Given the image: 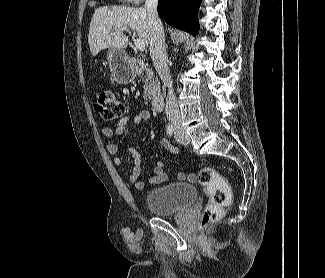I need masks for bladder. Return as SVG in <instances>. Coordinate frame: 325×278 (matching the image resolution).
Wrapping results in <instances>:
<instances>
[{
    "instance_id": "bladder-1",
    "label": "bladder",
    "mask_w": 325,
    "mask_h": 278,
    "mask_svg": "<svg viewBox=\"0 0 325 278\" xmlns=\"http://www.w3.org/2000/svg\"><path fill=\"white\" fill-rule=\"evenodd\" d=\"M197 199V191L190 183H169L149 190L145 204L155 216L180 213Z\"/></svg>"
}]
</instances>
